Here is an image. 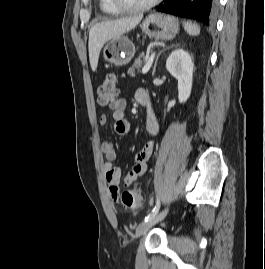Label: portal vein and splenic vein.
Segmentation results:
<instances>
[{"mask_svg": "<svg viewBox=\"0 0 265 269\" xmlns=\"http://www.w3.org/2000/svg\"><path fill=\"white\" fill-rule=\"evenodd\" d=\"M154 56H155V52L151 54L150 58L148 59V61L144 65V67L142 68V73L143 74H146L149 71V69H150V67L152 65Z\"/></svg>", "mask_w": 265, "mask_h": 269, "instance_id": "obj_1", "label": "portal vein and splenic vein"}]
</instances>
